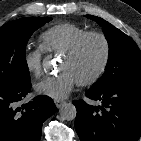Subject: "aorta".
<instances>
[{
	"instance_id": "aorta-1",
	"label": "aorta",
	"mask_w": 141,
	"mask_h": 141,
	"mask_svg": "<svg viewBox=\"0 0 141 141\" xmlns=\"http://www.w3.org/2000/svg\"><path fill=\"white\" fill-rule=\"evenodd\" d=\"M43 68L46 71H49L51 68V62L49 57H45L43 60ZM77 110L75 105L72 103H65L60 108V116L63 120L71 121L76 118Z\"/></svg>"
}]
</instances>
